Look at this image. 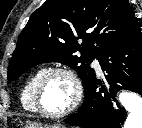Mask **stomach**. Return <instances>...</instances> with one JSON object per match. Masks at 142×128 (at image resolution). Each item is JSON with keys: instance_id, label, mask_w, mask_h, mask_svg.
Returning <instances> with one entry per match:
<instances>
[{"instance_id": "obj_1", "label": "stomach", "mask_w": 142, "mask_h": 128, "mask_svg": "<svg viewBox=\"0 0 142 128\" xmlns=\"http://www.w3.org/2000/svg\"><path fill=\"white\" fill-rule=\"evenodd\" d=\"M24 128H65L63 125L54 124V125H43L37 122H28Z\"/></svg>"}]
</instances>
